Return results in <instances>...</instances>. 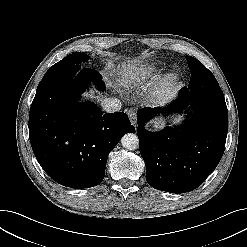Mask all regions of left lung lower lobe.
Segmentation results:
<instances>
[{
	"label": "left lung lower lobe",
	"mask_w": 247,
	"mask_h": 247,
	"mask_svg": "<svg viewBox=\"0 0 247 247\" xmlns=\"http://www.w3.org/2000/svg\"><path fill=\"white\" fill-rule=\"evenodd\" d=\"M188 106L193 114L186 110ZM184 110L187 120L181 127H166L160 132L144 128L160 113ZM137 124L149 185L170 193H184L200 186L220 162L228 131V110L218 82L205 68L167 107L140 109Z\"/></svg>",
	"instance_id": "0a47b994"
}]
</instances>
